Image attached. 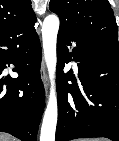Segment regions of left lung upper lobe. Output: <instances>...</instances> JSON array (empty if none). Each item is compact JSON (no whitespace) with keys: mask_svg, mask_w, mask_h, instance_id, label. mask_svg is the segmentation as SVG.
<instances>
[{"mask_svg":"<svg viewBox=\"0 0 119 141\" xmlns=\"http://www.w3.org/2000/svg\"><path fill=\"white\" fill-rule=\"evenodd\" d=\"M49 9L59 16L60 27L119 51L118 28L108 0H51Z\"/></svg>","mask_w":119,"mask_h":141,"instance_id":"5c2ea615","label":"left lung upper lobe"}]
</instances>
